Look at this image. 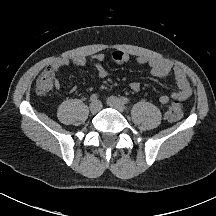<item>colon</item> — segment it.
<instances>
[{
    "label": "colon",
    "mask_w": 216,
    "mask_h": 216,
    "mask_svg": "<svg viewBox=\"0 0 216 216\" xmlns=\"http://www.w3.org/2000/svg\"><path fill=\"white\" fill-rule=\"evenodd\" d=\"M54 79L55 76L51 71L49 70L44 71L36 82V86H35L36 92L39 95H44L49 93L53 88ZM182 115H183L182 102L180 100H174L173 102H171V104L169 105L166 111V118L169 121H177L182 117Z\"/></svg>",
    "instance_id": "5ec220e1"
}]
</instances>
